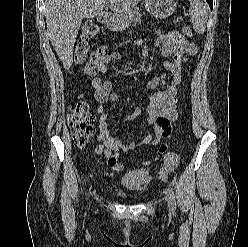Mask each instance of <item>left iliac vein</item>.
Here are the masks:
<instances>
[{"label": "left iliac vein", "mask_w": 248, "mask_h": 247, "mask_svg": "<svg viewBox=\"0 0 248 247\" xmlns=\"http://www.w3.org/2000/svg\"><path fill=\"white\" fill-rule=\"evenodd\" d=\"M165 200H166L168 206L171 208V199L169 197L168 191L166 192Z\"/></svg>", "instance_id": "obj_1"}]
</instances>
